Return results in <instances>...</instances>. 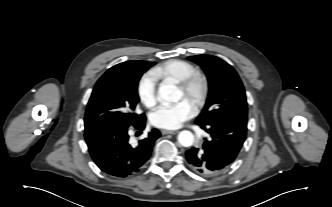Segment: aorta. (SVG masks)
Segmentation results:
<instances>
[{"label": "aorta", "instance_id": "1", "mask_svg": "<svg viewBox=\"0 0 332 207\" xmlns=\"http://www.w3.org/2000/svg\"><path fill=\"white\" fill-rule=\"evenodd\" d=\"M158 97L162 101L177 102L181 99V92L175 85L162 82L159 86ZM178 142L183 147H190L194 143V135L188 130L181 131L178 134Z\"/></svg>", "mask_w": 332, "mask_h": 207}]
</instances>
